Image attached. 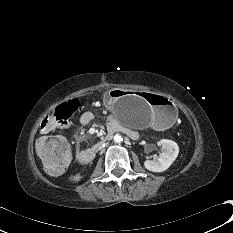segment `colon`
Here are the masks:
<instances>
[{
  "mask_svg": "<svg viewBox=\"0 0 233 233\" xmlns=\"http://www.w3.org/2000/svg\"><path fill=\"white\" fill-rule=\"evenodd\" d=\"M79 106L78 99L69 100L59 105L41 122V130L48 135L38 140L36 150L44 169L51 175L62 173L72 157L69 142L64 137L52 135V133L66 127L70 117L79 109Z\"/></svg>",
  "mask_w": 233,
  "mask_h": 233,
  "instance_id": "colon-1",
  "label": "colon"
}]
</instances>
